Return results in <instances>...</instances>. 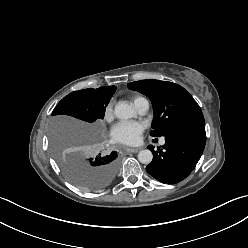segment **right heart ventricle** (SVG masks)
<instances>
[{"label":"right heart ventricle","instance_id":"obj_1","mask_svg":"<svg viewBox=\"0 0 248 248\" xmlns=\"http://www.w3.org/2000/svg\"><path fill=\"white\" fill-rule=\"evenodd\" d=\"M143 99H145V98H144V97H141V96H135V97L133 98V103H134V105H135L138 101L143 100Z\"/></svg>","mask_w":248,"mask_h":248}]
</instances>
